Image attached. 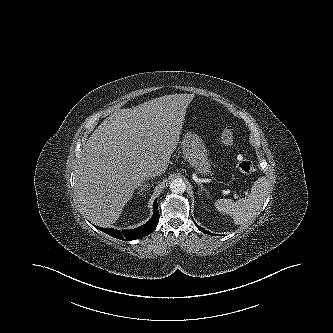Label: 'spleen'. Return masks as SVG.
Segmentation results:
<instances>
[{
  "instance_id": "obj_1",
  "label": "spleen",
  "mask_w": 333,
  "mask_h": 333,
  "mask_svg": "<svg viewBox=\"0 0 333 333\" xmlns=\"http://www.w3.org/2000/svg\"><path fill=\"white\" fill-rule=\"evenodd\" d=\"M270 183L265 176L258 178L251 187V193L244 198L234 202L231 199H219L215 207L222 213L230 214L236 225L248 223L254 219L261 208L268 191Z\"/></svg>"
}]
</instances>
